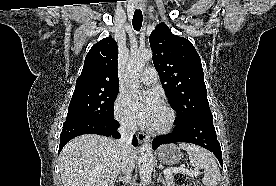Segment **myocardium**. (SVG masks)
<instances>
[{
	"label": "myocardium",
	"mask_w": 276,
	"mask_h": 186,
	"mask_svg": "<svg viewBox=\"0 0 276 186\" xmlns=\"http://www.w3.org/2000/svg\"><path fill=\"white\" fill-rule=\"evenodd\" d=\"M162 108L167 114V121L164 125L160 127H149V132L152 134H163L171 131L175 125L176 115L173 109L167 104H163Z\"/></svg>",
	"instance_id": "f54148a6"
}]
</instances>
